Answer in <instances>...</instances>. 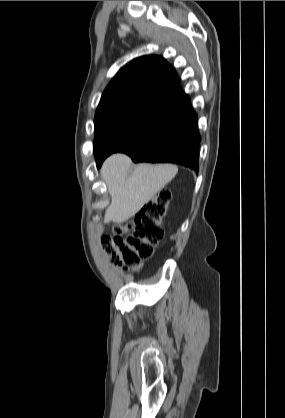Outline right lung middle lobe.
<instances>
[{
	"instance_id": "obj_1",
	"label": "right lung middle lobe",
	"mask_w": 285,
	"mask_h": 418,
	"mask_svg": "<svg viewBox=\"0 0 285 418\" xmlns=\"http://www.w3.org/2000/svg\"><path fill=\"white\" fill-rule=\"evenodd\" d=\"M173 111L136 101L116 103L97 110L94 119L96 160L120 152L159 125Z\"/></svg>"
}]
</instances>
